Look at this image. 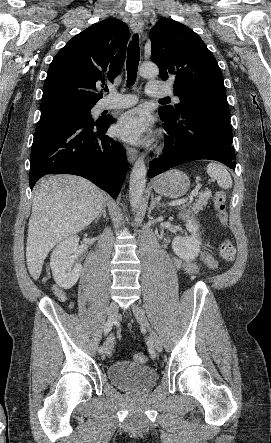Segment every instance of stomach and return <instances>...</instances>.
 <instances>
[{"instance_id":"obj_1","label":"stomach","mask_w":271,"mask_h":443,"mask_svg":"<svg viewBox=\"0 0 271 443\" xmlns=\"http://www.w3.org/2000/svg\"><path fill=\"white\" fill-rule=\"evenodd\" d=\"M154 192L166 198H180L188 192L190 188V180L184 172L180 170H170L163 176L156 178L153 184Z\"/></svg>"}]
</instances>
